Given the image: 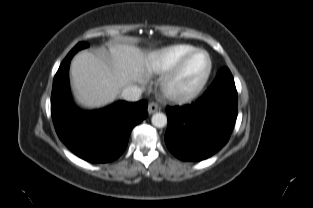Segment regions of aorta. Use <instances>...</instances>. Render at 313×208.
<instances>
[{
  "mask_svg": "<svg viewBox=\"0 0 313 208\" xmlns=\"http://www.w3.org/2000/svg\"><path fill=\"white\" fill-rule=\"evenodd\" d=\"M151 122L153 126L157 128H162L167 124V117L163 113H155L151 118Z\"/></svg>",
  "mask_w": 313,
  "mask_h": 208,
  "instance_id": "obj_1",
  "label": "aorta"
}]
</instances>
